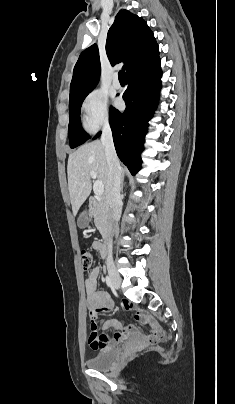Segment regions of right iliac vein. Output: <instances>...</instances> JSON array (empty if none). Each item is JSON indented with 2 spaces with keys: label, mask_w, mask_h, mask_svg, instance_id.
<instances>
[{
  "label": "right iliac vein",
  "mask_w": 235,
  "mask_h": 404,
  "mask_svg": "<svg viewBox=\"0 0 235 404\" xmlns=\"http://www.w3.org/2000/svg\"><path fill=\"white\" fill-rule=\"evenodd\" d=\"M107 268H108V273H109V277L112 282V285L114 286V288L119 289L120 284H121V278H120L119 273L116 270L114 263L108 262Z\"/></svg>",
  "instance_id": "63e3f726"
}]
</instances>
